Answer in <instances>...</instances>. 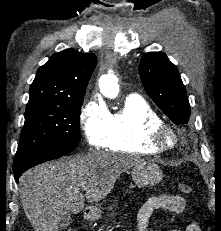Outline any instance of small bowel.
<instances>
[{
	"mask_svg": "<svg viewBox=\"0 0 221 231\" xmlns=\"http://www.w3.org/2000/svg\"><path fill=\"white\" fill-rule=\"evenodd\" d=\"M165 209L180 213L185 209V200L180 196L158 195L149 198L141 205L137 213V226L139 231L149 230V221L155 210ZM185 231H201L195 221H190Z\"/></svg>",
	"mask_w": 221,
	"mask_h": 231,
	"instance_id": "c3829d8e",
	"label": "small bowel"
}]
</instances>
